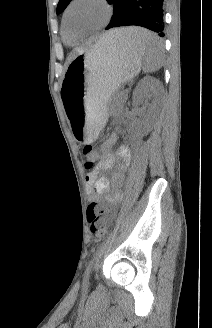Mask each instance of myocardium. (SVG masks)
<instances>
[{
  "instance_id": "1",
  "label": "myocardium",
  "mask_w": 212,
  "mask_h": 328,
  "mask_svg": "<svg viewBox=\"0 0 212 328\" xmlns=\"http://www.w3.org/2000/svg\"><path fill=\"white\" fill-rule=\"evenodd\" d=\"M82 1L83 0H71L69 2V4L67 5V7L65 8L64 13H63V26L66 31H69L68 15H69L70 10L72 9L73 6H75L77 3L82 2ZM94 1L99 3L100 5H102V7L105 9L106 16H105L104 21L100 25L87 30L85 33H92V32L102 29L107 24V22L109 21V19L111 18L112 14H113V7H112L111 3L109 2V0H94Z\"/></svg>"
}]
</instances>
